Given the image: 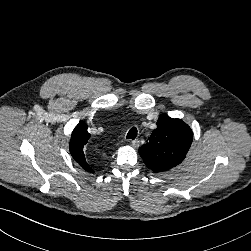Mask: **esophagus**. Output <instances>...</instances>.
<instances>
[{
	"label": "esophagus",
	"instance_id": "esophagus-1",
	"mask_svg": "<svg viewBox=\"0 0 251 251\" xmlns=\"http://www.w3.org/2000/svg\"><path fill=\"white\" fill-rule=\"evenodd\" d=\"M139 144H140V141H139L138 139H135V140L132 141V146H133L134 148L139 147Z\"/></svg>",
	"mask_w": 251,
	"mask_h": 251
}]
</instances>
